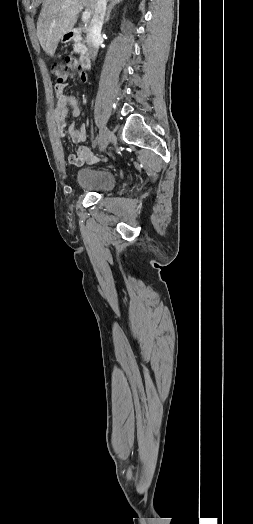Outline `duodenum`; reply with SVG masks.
Instances as JSON below:
<instances>
[{
	"mask_svg": "<svg viewBox=\"0 0 253 524\" xmlns=\"http://www.w3.org/2000/svg\"><path fill=\"white\" fill-rule=\"evenodd\" d=\"M82 33H83L82 28H74L66 34V38L68 40H79ZM79 64L81 68H84L85 70L91 67V58H90L88 51L85 48H82L80 50Z\"/></svg>",
	"mask_w": 253,
	"mask_h": 524,
	"instance_id": "obj_1",
	"label": "duodenum"
}]
</instances>
